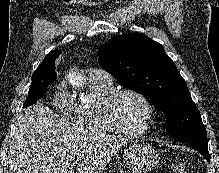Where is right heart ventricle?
Here are the masks:
<instances>
[{
    "label": "right heart ventricle",
    "mask_w": 219,
    "mask_h": 173,
    "mask_svg": "<svg viewBox=\"0 0 219 173\" xmlns=\"http://www.w3.org/2000/svg\"><path fill=\"white\" fill-rule=\"evenodd\" d=\"M115 91L113 83L90 81V97L88 102L75 104V120L81 127L92 132L113 134L115 131L107 123L103 103Z\"/></svg>",
    "instance_id": "right-heart-ventricle-1"
}]
</instances>
